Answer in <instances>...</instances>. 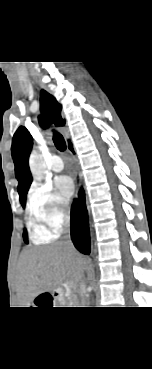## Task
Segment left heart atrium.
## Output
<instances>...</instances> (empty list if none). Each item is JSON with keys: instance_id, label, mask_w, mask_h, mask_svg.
<instances>
[{"instance_id": "obj_1", "label": "left heart atrium", "mask_w": 152, "mask_h": 369, "mask_svg": "<svg viewBox=\"0 0 152 369\" xmlns=\"http://www.w3.org/2000/svg\"><path fill=\"white\" fill-rule=\"evenodd\" d=\"M55 186L65 201H69L74 193L73 180L68 176H59L55 181Z\"/></svg>"}]
</instances>
